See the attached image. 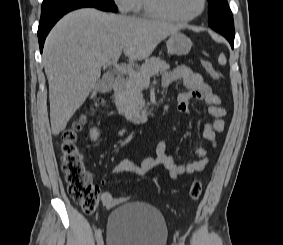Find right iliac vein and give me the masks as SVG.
<instances>
[{"mask_svg":"<svg viewBox=\"0 0 283 245\" xmlns=\"http://www.w3.org/2000/svg\"><path fill=\"white\" fill-rule=\"evenodd\" d=\"M97 245H104L103 239L100 238Z\"/></svg>","mask_w":283,"mask_h":245,"instance_id":"63e3f726","label":"right iliac vein"}]
</instances>
